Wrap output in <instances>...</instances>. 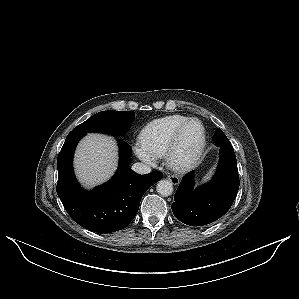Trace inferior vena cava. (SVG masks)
<instances>
[{"mask_svg":"<svg viewBox=\"0 0 299 299\" xmlns=\"http://www.w3.org/2000/svg\"><path fill=\"white\" fill-rule=\"evenodd\" d=\"M132 170L138 174H148L151 172V167L144 163H135L132 166Z\"/></svg>","mask_w":299,"mask_h":299,"instance_id":"inferior-vena-cava-1","label":"inferior vena cava"}]
</instances>
